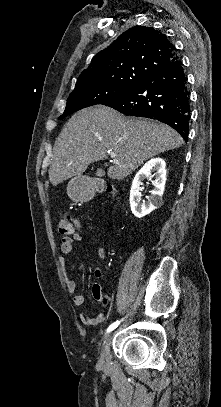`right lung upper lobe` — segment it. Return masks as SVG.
Returning a JSON list of instances; mask_svg holds the SVG:
<instances>
[{"mask_svg":"<svg viewBox=\"0 0 221 407\" xmlns=\"http://www.w3.org/2000/svg\"><path fill=\"white\" fill-rule=\"evenodd\" d=\"M175 46L152 27L135 26L96 54L74 91L94 85H137L176 57Z\"/></svg>","mask_w":221,"mask_h":407,"instance_id":"right-lung-upper-lobe-1","label":"right lung upper lobe"}]
</instances>
